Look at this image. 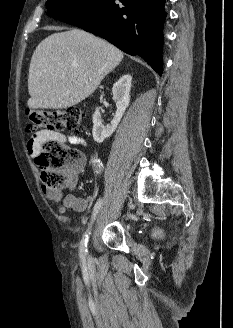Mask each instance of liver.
Returning <instances> with one entry per match:
<instances>
[{
	"label": "liver",
	"mask_w": 233,
	"mask_h": 328,
	"mask_svg": "<svg viewBox=\"0 0 233 328\" xmlns=\"http://www.w3.org/2000/svg\"><path fill=\"white\" fill-rule=\"evenodd\" d=\"M122 59L118 48L83 30L50 35L31 58L28 107L64 109L78 104Z\"/></svg>",
	"instance_id": "1"
}]
</instances>
